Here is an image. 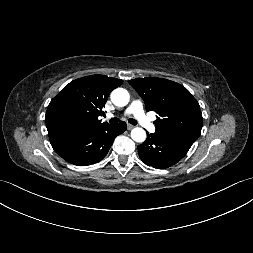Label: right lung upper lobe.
Here are the masks:
<instances>
[{
  "mask_svg": "<svg viewBox=\"0 0 253 253\" xmlns=\"http://www.w3.org/2000/svg\"><path fill=\"white\" fill-rule=\"evenodd\" d=\"M122 80L91 75L66 85L50 102L46 126L51 143L109 125L98 119L111 91Z\"/></svg>",
  "mask_w": 253,
  "mask_h": 253,
  "instance_id": "1",
  "label": "right lung upper lobe"
}]
</instances>
